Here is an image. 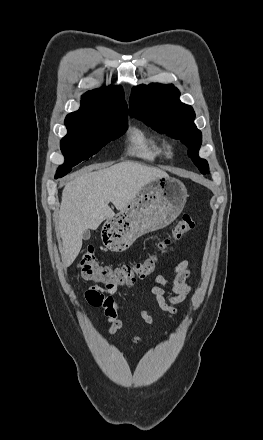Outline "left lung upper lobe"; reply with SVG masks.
<instances>
[{
  "label": "left lung upper lobe",
  "instance_id": "5c2ea615",
  "mask_svg": "<svg viewBox=\"0 0 263 440\" xmlns=\"http://www.w3.org/2000/svg\"><path fill=\"white\" fill-rule=\"evenodd\" d=\"M179 96L178 89L171 84L139 85L132 89L130 115L160 133L180 139L189 148L188 155L198 169L203 174L209 173L207 161L198 156L202 134L194 124V110L181 103Z\"/></svg>",
  "mask_w": 263,
  "mask_h": 440
}]
</instances>
